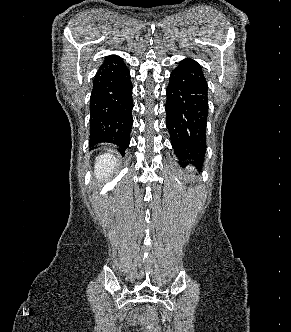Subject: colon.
Returning <instances> with one entry per match:
<instances>
[{"mask_svg":"<svg viewBox=\"0 0 291 332\" xmlns=\"http://www.w3.org/2000/svg\"><path fill=\"white\" fill-rule=\"evenodd\" d=\"M142 319L146 325L145 332H159L158 314L154 309L145 308Z\"/></svg>","mask_w":291,"mask_h":332,"instance_id":"1","label":"colon"}]
</instances>
